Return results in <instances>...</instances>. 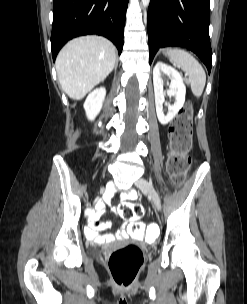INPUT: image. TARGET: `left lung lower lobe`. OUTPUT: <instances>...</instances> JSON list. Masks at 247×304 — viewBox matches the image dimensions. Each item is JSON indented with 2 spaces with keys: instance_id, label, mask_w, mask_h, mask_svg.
Instances as JSON below:
<instances>
[{
  "instance_id": "1",
  "label": "left lung lower lobe",
  "mask_w": 247,
  "mask_h": 304,
  "mask_svg": "<svg viewBox=\"0 0 247 304\" xmlns=\"http://www.w3.org/2000/svg\"><path fill=\"white\" fill-rule=\"evenodd\" d=\"M210 0H151L148 8L149 63L159 48L182 46L211 71Z\"/></svg>"
}]
</instances>
